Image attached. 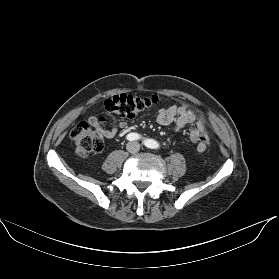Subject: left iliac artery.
<instances>
[{
	"label": "left iliac artery",
	"mask_w": 279,
	"mask_h": 279,
	"mask_svg": "<svg viewBox=\"0 0 279 279\" xmlns=\"http://www.w3.org/2000/svg\"><path fill=\"white\" fill-rule=\"evenodd\" d=\"M144 145L148 148H156V142L152 139L144 140Z\"/></svg>",
	"instance_id": "left-iliac-artery-1"
}]
</instances>
